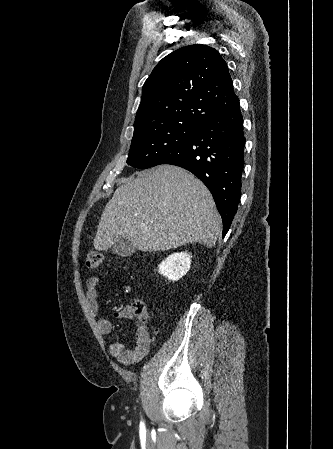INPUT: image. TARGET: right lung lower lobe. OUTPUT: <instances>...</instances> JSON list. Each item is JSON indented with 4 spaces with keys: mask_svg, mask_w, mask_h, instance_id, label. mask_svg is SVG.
Segmentation results:
<instances>
[{
    "mask_svg": "<svg viewBox=\"0 0 333 449\" xmlns=\"http://www.w3.org/2000/svg\"><path fill=\"white\" fill-rule=\"evenodd\" d=\"M245 137L239 102L204 123L157 165L171 164L196 175L210 190L228 232L241 196Z\"/></svg>",
    "mask_w": 333,
    "mask_h": 449,
    "instance_id": "obj_1",
    "label": "right lung lower lobe"
}]
</instances>
